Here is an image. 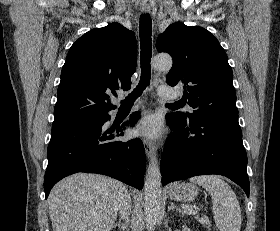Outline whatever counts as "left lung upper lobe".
<instances>
[{
    "instance_id": "obj_1",
    "label": "left lung upper lobe",
    "mask_w": 280,
    "mask_h": 231,
    "mask_svg": "<svg viewBox=\"0 0 280 231\" xmlns=\"http://www.w3.org/2000/svg\"><path fill=\"white\" fill-rule=\"evenodd\" d=\"M156 47L173 58L167 83L184 87V101L195 109L172 114L184 123L202 117L238 118L232 69L224 49L209 31L177 22L158 37Z\"/></svg>"
}]
</instances>
